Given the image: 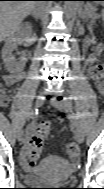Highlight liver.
Here are the masks:
<instances>
[{"mask_svg": "<svg viewBox=\"0 0 104 189\" xmlns=\"http://www.w3.org/2000/svg\"><path fill=\"white\" fill-rule=\"evenodd\" d=\"M36 5L35 1H1L0 3V37L4 39L20 29L23 19Z\"/></svg>", "mask_w": 104, "mask_h": 189, "instance_id": "obj_1", "label": "liver"}]
</instances>
